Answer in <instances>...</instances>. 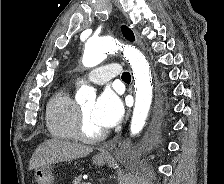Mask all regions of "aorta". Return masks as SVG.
Segmentation results:
<instances>
[{
    "label": "aorta",
    "instance_id": "1",
    "mask_svg": "<svg viewBox=\"0 0 224 184\" xmlns=\"http://www.w3.org/2000/svg\"><path fill=\"white\" fill-rule=\"evenodd\" d=\"M119 50L129 61L135 80V106L130 132L136 135L145 125L152 102V76L145 56L134 46L124 45L118 40L109 37H92L85 43L82 63L87 68L95 67L106 59L108 53H115ZM94 96V89L87 85H82L76 93V99L81 101Z\"/></svg>",
    "mask_w": 224,
    "mask_h": 184
}]
</instances>
